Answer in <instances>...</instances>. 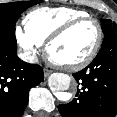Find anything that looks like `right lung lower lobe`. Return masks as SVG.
I'll return each mask as SVG.
<instances>
[{
    "label": "right lung lower lobe",
    "instance_id": "1",
    "mask_svg": "<svg viewBox=\"0 0 117 117\" xmlns=\"http://www.w3.org/2000/svg\"><path fill=\"white\" fill-rule=\"evenodd\" d=\"M43 80L41 66L17 57L15 30L0 27V117H20L29 90Z\"/></svg>",
    "mask_w": 117,
    "mask_h": 117
}]
</instances>
